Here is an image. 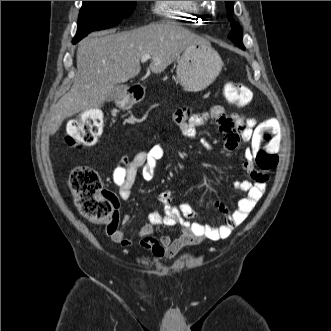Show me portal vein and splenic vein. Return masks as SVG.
Returning <instances> with one entry per match:
<instances>
[{"label": "portal vein and splenic vein", "instance_id": "portal-vein-and-splenic-vein-1", "mask_svg": "<svg viewBox=\"0 0 331 331\" xmlns=\"http://www.w3.org/2000/svg\"><path fill=\"white\" fill-rule=\"evenodd\" d=\"M150 58H151V56L149 54H145V55L142 56L141 62L142 63H145Z\"/></svg>", "mask_w": 331, "mask_h": 331}]
</instances>
